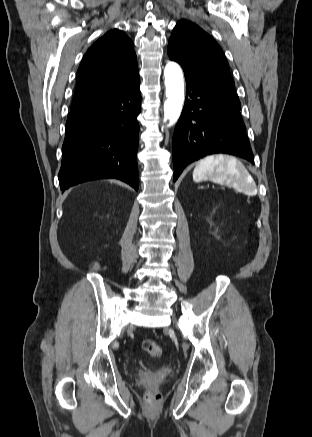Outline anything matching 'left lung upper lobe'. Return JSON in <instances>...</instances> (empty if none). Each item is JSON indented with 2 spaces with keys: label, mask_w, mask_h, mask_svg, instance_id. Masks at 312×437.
<instances>
[{
  "label": "left lung upper lobe",
  "mask_w": 312,
  "mask_h": 437,
  "mask_svg": "<svg viewBox=\"0 0 312 437\" xmlns=\"http://www.w3.org/2000/svg\"><path fill=\"white\" fill-rule=\"evenodd\" d=\"M168 55L182 66L185 75L241 106L222 49L199 26L187 20L178 22L168 42Z\"/></svg>",
  "instance_id": "left-lung-upper-lobe-1"
}]
</instances>
